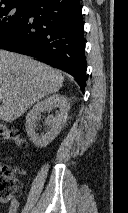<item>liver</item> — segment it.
<instances>
[{"label": "liver", "instance_id": "6515ba94", "mask_svg": "<svg viewBox=\"0 0 128 213\" xmlns=\"http://www.w3.org/2000/svg\"><path fill=\"white\" fill-rule=\"evenodd\" d=\"M63 81L49 65L0 49V120H16L36 101L58 92Z\"/></svg>", "mask_w": 128, "mask_h": 213}]
</instances>
